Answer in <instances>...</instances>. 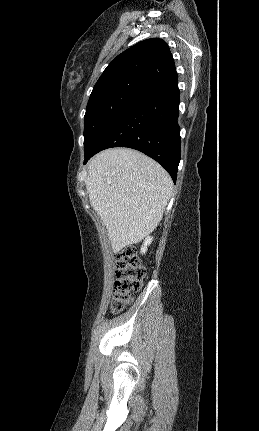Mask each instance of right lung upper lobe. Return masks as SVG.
Returning <instances> with one entry per match:
<instances>
[{
    "label": "right lung upper lobe",
    "instance_id": "right-lung-upper-lobe-1",
    "mask_svg": "<svg viewBox=\"0 0 259 431\" xmlns=\"http://www.w3.org/2000/svg\"><path fill=\"white\" fill-rule=\"evenodd\" d=\"M177 78L167 43L160 38H151L118 55L104 70L92 93L129 81L142 82L152 89Z\"/></svg>",
    "mask_w": 259,
    "mask_h": 431
}]
</instances>
